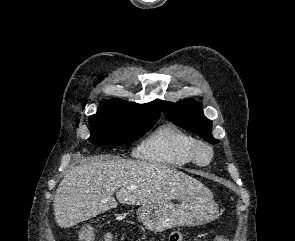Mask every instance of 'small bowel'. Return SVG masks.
Here are the masks:
<instances>
[{"mask_svg": "<svg viewBox=\"0 0 295 241\" xmlns=\"http://www.w3.org/2000/svg\"><path fill=\"white\" fill-rule=\"evenodd\" d=\"M105 241H112V236L110 234H107L105 236Z\"/></svg>", "mask_w": 295, "mask_h": 241, "instance_id": "1", "label": "small bowel"}]
</instances>
